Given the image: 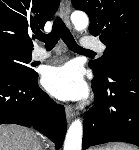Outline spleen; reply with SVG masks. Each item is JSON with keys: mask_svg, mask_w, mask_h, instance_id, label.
I'll return each mask as SVG.
<instances>
[{"mask_svg": "<svg viewBox=\"0 0 139 150\" xmlns=\"http://www.w3.org/2000/svg\"><path fill=\"white\" fill-rule=\"evenodd\" d=\"M106 150H136V148H133L126 144L116 143V144L107 146Z\"/></svg>", "mask_w": 139, "mask_h": 150, "instance_id": "obj_1", "label": "spleen"}]
</instances>
